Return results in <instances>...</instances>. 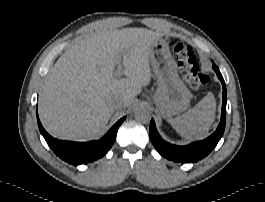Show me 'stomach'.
<instances>
[{
  "mask_svg": "<svg viewBox=\"0 0 265 202\" xmlns=\"http://www.w3.org/2000/svg\"><path fill=\"white\" fill-rule=\"evenodd\" d=\"M149 59L158 81L154 95L156 111L160 116L170 119L189 107L190 91L179 78L177 63L164 39L159 38L151 44Z\"/></svg>",
  "mask_w": 265,
  "mask_h": 202,
  "instance_id": "1",
  "label": "stomach"
}]
</instances>
